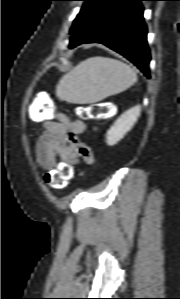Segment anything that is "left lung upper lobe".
Instances as JSON below:
<instances>
[{
	"instance_id": "left-lung-upper-lobe-1",
	"label": "left lung upper lobe",
	"mask_w": 180,
	"mask_h": 299,
	"mask_svg": "<svg viewBox=\"0 0 180 299\" xmlns=\"http://www.w3.org/2000/svg\"><path fill=\"white\" fill-rule=\"evenodd\" d=\"M84 1L85 3L83 4L80 13L78 14V16L76 17V19L73 22L72 28L70 29V34H73L74 31L77 29V27L79 26L80 22L82 21L84 15L86 14V12L89 10V8L94 4V2L96 0H81Z\"/></svg>"
}]
</instances>
